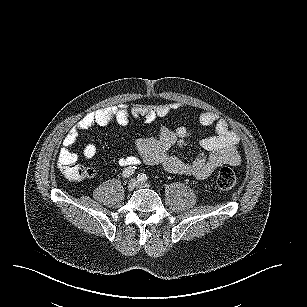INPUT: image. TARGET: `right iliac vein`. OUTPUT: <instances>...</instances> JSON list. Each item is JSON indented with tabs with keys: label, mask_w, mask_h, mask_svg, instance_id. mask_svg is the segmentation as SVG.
Masks as SVG:
<instances>
[{
	"label": "right iliac vein",
	"mask_w": 307,
	"mask_h": 307,
	"mask_svg": "<svg viewBox=\"0 0 307 307\" xmlns=\"http://www.w3.org/2000/svg\"><path fill=\"white\" fill-rule=\"evenodd\" d=\"M136 184H137V180H136V179H132V180L127 184V189H128L129 191H132V190L135 188Z\"/></svg>",
	"instance_id": "1"
}]
</instances>
